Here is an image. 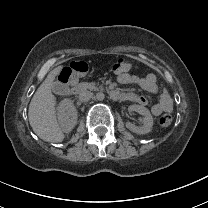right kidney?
I'll return each mask as SVG.
<instances>
[{
	"label": "right kidney",
	"mask_w": 208,
	"mask_h": 208,
	"mask_svg": "<svg viewBox=\"0 0 208 208\" xmlns=\"http://www.w3.org/2000/svg\"><path fill=\"white\" fill-rule=\"evenodd\" d=\"M58 118L64 132H70L75 127L78 113L71 100L61 101L58 107Z\"/></svg>",
	"instance_id": "right-kidney-1"
}]
</instances>
